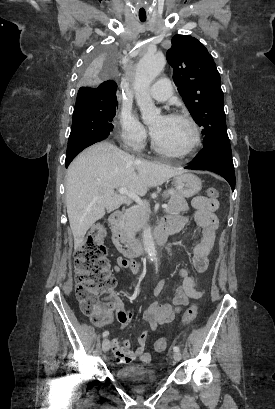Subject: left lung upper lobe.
I'll list each match as a JSON object with an SVG mask.
<instances>
[{"label":"left lung upper lobe","mask_w":275,"mask_h":409,"mask_svg":"<svg viewBox=\"0 0 275 409\" xmlns=\"http://www.w3.org/2000/svg\"><path fill=\"white\" fill-rule=\"evenodd\" d=\"M167 51L173 81L193 119L203 127V148L229 141L220 75L204 45L189 35H175Z\"/></svg>","instance_id":"obj_1"}]
</instances>
